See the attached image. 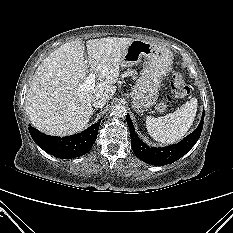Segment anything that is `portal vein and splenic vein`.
<instances>
[{
	"label": "portal vein and splenic vein",
	"instance_id": "1",
	"mask_svg": "<svg viewBox=\"0 0 233 233\" xmlns=\"http://www.w3.org/2000/svg\"><path fill=\"white\" fill-rule=\"evenodd\" d=\"M95 74L91 72L84 83L81 85V88L83 89H92L95 86Z\"/></svg>",
	"mask_w": 233,
	"mask_h": 233
}]
</instances>
